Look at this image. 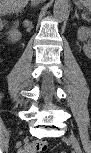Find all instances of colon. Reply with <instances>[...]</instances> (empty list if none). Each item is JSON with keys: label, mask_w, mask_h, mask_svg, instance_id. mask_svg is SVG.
<instances>
[{"label": "colon", "mask_w": 91, "mask_h": 153, "mask_svg": "<svg viewBox=\"0 0 91 153\" xmlns=\"http://www.w3.org/2000/svg\"><path fill=\"white\" fill-rule=\"evenodd\" d=\"M48 148L47 142L43 139L32 140L27 143L22 149V153H37L44 152Z\"/></svg>", "instance_id": "obj_1"}]
</instances>
